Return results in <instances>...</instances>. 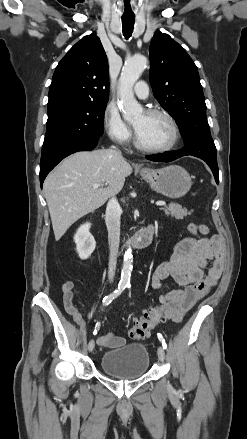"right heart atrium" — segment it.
Masks as SVG:
<instances>
[{"mask_svg": "<svg viewBox=\"0 0 247 439\" xmlns=\"http://www.w3.org/2000/svg\"><path fill=\"white\" fill-rule=\"evenodd\" d=\"M103 126L108 137L118 143L126 144L131 138L129 126L121 118L116 107L109 105L104 111Z\"/></svg>", "mask_w": 247, "mask_h": 439, "instance_id": "right-heart-atrium-1", "label": "right heart atrium"}]
</instances>
